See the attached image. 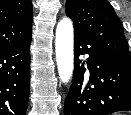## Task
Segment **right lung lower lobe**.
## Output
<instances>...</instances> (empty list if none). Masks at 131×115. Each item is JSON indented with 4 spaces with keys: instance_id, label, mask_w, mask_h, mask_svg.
<instances>
[{
    "instance_id": "right-lung-lower-lobe-1",
    "label": "right lung lower lobe",
    "mask_w": 131,
    "mask_h": 115,
    "mask_svg": "<svg viewBox=\"0 0 131 115\" xmlns=\"http://www.w3.org/2000/svg\"><path fill=\"white\" fill-rule=\"evenodd\" d=\"M30 44L0 49V115H25L30 89Z\"/></svg>"
}]
</instances>
